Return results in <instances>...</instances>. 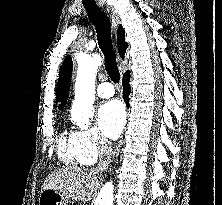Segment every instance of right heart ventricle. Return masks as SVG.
I'll use <instances>...</instances> for the list:
<instances>
[{
	"instance_id": "obj_1",
	"label": "right heart ventricle",
	"mask_w": 222,
	"mask_h": 205,
	"mask_svg": "<svg viewBox=\"0 0 222 205\" xmlns=\"http://www.w3.org/2000/svg\"><path fill=\"white\" fill-rule=\"evenodd\" d=\"M58 155L60 159L69 166L87 164L79 150L76 148L71 136H60L58 141Z\"/></svg>"
}]
</instances>
